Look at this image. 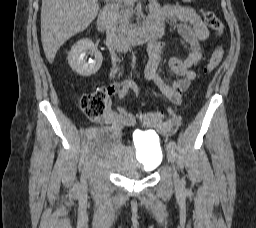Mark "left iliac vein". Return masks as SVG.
I'll use <instances>...</instances> for the list:
<instances>
[{"label":"left iliac vein","mask_w":256,"mask_h":228,"mask_svg":"<svg viewBox=\"0 0 256 228\" xmlns=\"http://www.w3.org/2000/svg\"><path fill=\"white\" fill-rule=\"evenodd\" d=\"M166 150H167L168 159H169L172 163H174L175 160H176L175 148L168 144ZM174 181H175L176 184H179V183H180V179H179V176H178L176 170H174Z\"/></svg>","instance_id":"left-iliac-vein-1"}]
</instances>
